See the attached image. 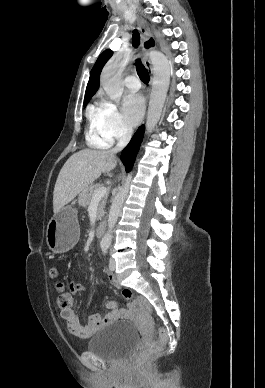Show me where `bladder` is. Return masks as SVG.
Listing matches in <instances>:
<instances>
[{"label": "bladder", "mask_w": 265, "mask_h": 388, "mask_svg": "<svg viewBox=\"0 0 265 388\" xmlns=\"http://www.w3.org/2000/svg\"><path fill=\"white\" fill-rule=\"evenodd\" d=\"M137 337L138 331L131 322L112 323L92 337L87 351L104 361H118L135 345Z\"/></svg>", "instance_id": "bladder-1"}]
</instances>
